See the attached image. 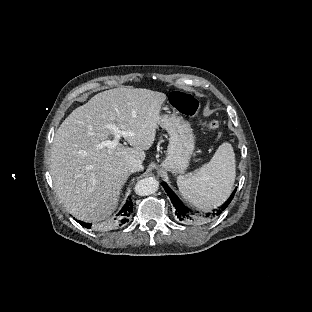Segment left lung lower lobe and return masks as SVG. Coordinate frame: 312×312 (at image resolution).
Masks as SVG:
<instances>
[{"mask_svg": "<svg viewBox=\"0 0 312 312\" xmlns=\"http://www.w3.org/2000/svg\"><path fill=\"white\" fill-rule=\"evenodd\" d=\"M163 188L166 190L167 194L169 195L172 204L175 206V215L176 217L180 220V221H189V220H199L201 218L204 219H212L215 216H218L222 213V211L224 209L227 208V206L229 205V203L231 202V200L234 197V194L236 192V190L233 192V194L231 195V197L217 210L213 211V213H206L205 215H197L195 216V213L188 207H186L183 202L175 195V193L167 186L166 183H162Z\"/></svg>", "mask_w": 312, "mask_h": 312, "instance_id": "0a47b994", "label": "left lung lower lobe"}]
</instances>
